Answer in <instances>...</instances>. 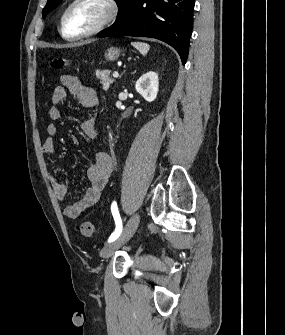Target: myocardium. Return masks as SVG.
<instances>
[{"label":"myocardium","instance_id":"myocardium-1","mask_svg":"<svg viewBox=\"0 0 285 335\" xmlns=\"http://www.w3.org/2000/svg\"><path fill=\"white\" fill-rule=\"evenodd\" d=\"M82 3L100 4L106 8L107 14L105 18L102 21H100L98 24H96L94 27L87 28V29H81L80 31L74 33V35L72 36V38L74 39L91 36V35L101 32L117 18L118 13H119V7H118L117 1H73L69 5L67 9V13H66V19L68 22L73 23L74 9L77 5L82 4Z\"/></svg>","mask_w":285,"mask_h":335}]
</instances>
